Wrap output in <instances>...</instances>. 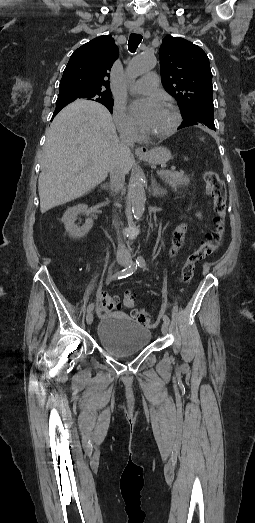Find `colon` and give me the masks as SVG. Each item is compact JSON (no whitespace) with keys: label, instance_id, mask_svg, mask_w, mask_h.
<instances>
[{"label":"colon","instance_id":"5ec220e1","mask_svg":"<svg viewBox=\"0 0 255 523\" xmlns=\"http://www.w3.org/2000/svg\"><path fill=\"white\" fill-rule=\"evenodd\" d=\"M204 181L206 191L212 198L215 211L214 229L206 235L201 245L187 256L181 268V284H188L191 281L196 265L219 248L225 235L226 189L224 183L219 175L212 170H207L204 173ZM100 305L102 310L106 312H110L120 306L119 302L110 295H104L100 300ZM123 305L129 309L133 308L135 306V297L130 293L124 294ZM132 317L144 326H150L153 322L152 316L144 311H133Z\"/></svg>","mask_w":255,"mask_h":523}]
</instances>
